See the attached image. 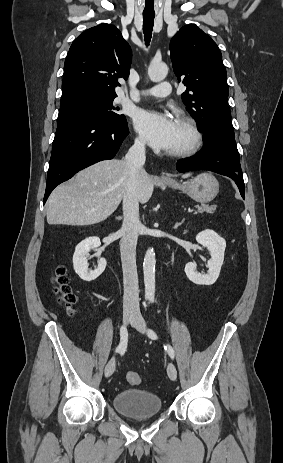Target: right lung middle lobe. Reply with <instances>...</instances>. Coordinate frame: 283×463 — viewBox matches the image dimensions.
<instances>
[{
	"mask_svg": "<svg viewBox=\"0 0 283 463\" xmlns=\"http://www.w3.org/2000/svg\"><path fill=\"white\" fill-rule=\"evenodd\" d=\"M115 97H91L60 107L57 127L82 118L122 121L125 116L115 113L112 101Z\"/></svg>",
	"mask_w": 283,
	"mask_h": 463,
	"instance_id": "dd1d6c3e",
	"label": "right lung middle lobe"
}]
</instances>
